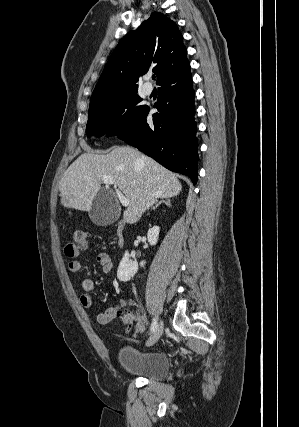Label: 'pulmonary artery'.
I'll return each mask as SVG.
<instances>
[{
	"label": "pulmonary artery",
	"mask_w": 299,
	"mask_h": 427,
	"mask_svg": "<svg viewBox=\"0 0 299 427\" xmlns=\"http://www.w3.org/2000/svg\"><path fill=\"white\" fill-rule=\"evenodd\" d=\"M149 77H146V80H148ZM143 91L146 95H150L153 91V87L150 83L146 82L143 86Z\"/></svg>",
	"instance_id": "1"
}]
</instances>
